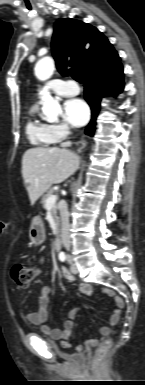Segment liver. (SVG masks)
Instances as JSON below:
<instances>
[{"instance_id":"obj_1","label":"liver","mask_w":145,"mask_h":385,"mask_svg":"<svg viewBox=\"0 0 145 385\" xmlns=\"http://www.w3.org/2000/svg\"><path fill=\"white\" fill-rule=\"evenodd\" d=\"M80 158L65 148H31L22 157V176L27 184L31 205L50 188L74 173Z\"/></svg>"}]
</instances>
